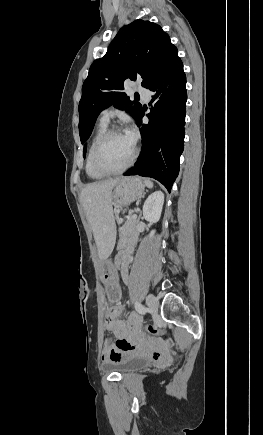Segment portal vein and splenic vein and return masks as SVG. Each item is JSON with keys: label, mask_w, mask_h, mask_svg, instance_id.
Masks as SVG:
<instances>
[{"label": "portal vein and splenic vein", "mask_w": 263, "mask_h": 435, "mask_svg": "<svg viewBox=\"0 0 263 435\" xmlns=\"http://www.w3.org/2000/svg\"><path fill=\"white\" fill-rule=\"evenodd\" d=\"M133 218H136V215L135 214H133V216H132Z\"/></svg>", "instance_id": "18ae733b"}]
</instances>
